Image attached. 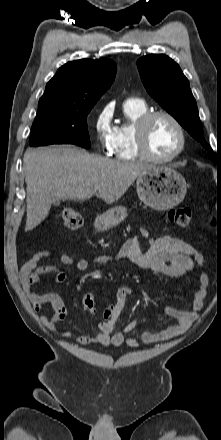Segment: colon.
I'll return each instance as SVG.
<instances>
[{
	"label": "colon",
	"mask_w": 221,
	"mask_h": 440,
	"mask_svg": "<svg viewBox=\"0 0 221 440\" xmlns=\"http://www.w3.org/2000/svg\"><path fill=\"white\" fill-rule=\"evenodd\" d=\"M168 218L171 223L179 227H186L190 224L192 220V211L188 207H176L169 211ZM63 225L68 230H77L83 224V218L81 214L72 208H65L62 212ZM82 305L84 310L93 311L94 310V296L92 294H87L82 300ZM114 306L108 303L105 309H100V318H113L114 316Z\"/></svg>",
	"instance_id": "obj_1"
}]
</instances>
